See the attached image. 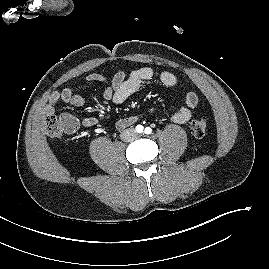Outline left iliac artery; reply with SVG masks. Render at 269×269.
<instances>
[{
  "instance_id": "obj_1",
  "label": "left iliac artery",
  "mask_w": 269,
  "mask_h": 269,
  "mask_svg": "<svg viewBox=\"0 0 269 269\" xmlns=\"http://www.w3.org/2000/svg\"><path fill=\"white\" fill-rule=\"evenodd\" d=\"M144 132H145V134H151L152 129L150 127H146Z\"/></svg>"
}]
</instances>
